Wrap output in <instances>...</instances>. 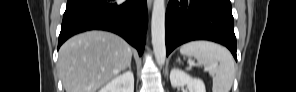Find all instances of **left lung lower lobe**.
<instances>
[{
    "label": "left lung lower lobe",
    "instance_id": "obj_1",
    "mask_svg": "<svg viewBox=\"0 0 296 92\" xmlns=\"http://www.w3.org/2000/svg\"><path fill=\"white\" fill-rule=\"evenodd\" d=\"M165 30L167 56L183 43L210 40L226 46L237 60L230 0H170Z\"/></svg>",
    "mask_w": 296,
    "mask_h": 92
}]
</instances>
